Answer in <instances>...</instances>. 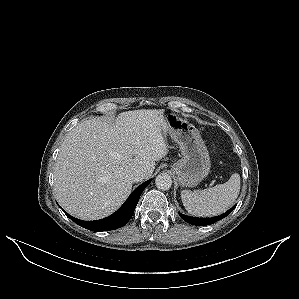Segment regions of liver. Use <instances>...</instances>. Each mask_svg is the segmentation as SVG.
Returning <instances> with one entry per match:
<instances>
[{"label": "liver", "mask_w": 299, "mask_h": 299, "mask_svg": "<svg viewBox=\"0 0 299 299\" xmlns=\"http://www.w3.org/2000/svg\"><path fill=\"white\" fill-rule=\"evenodd\" d=\"M164 110L122 112L113 124L100 118L82 121L64 138L54 168V193L72 216L97 220L114 213L127 199L130 173L151 177L155 162L168 154Z\"/></svg>", "instance_id": "liver-1"}]
</instances>
